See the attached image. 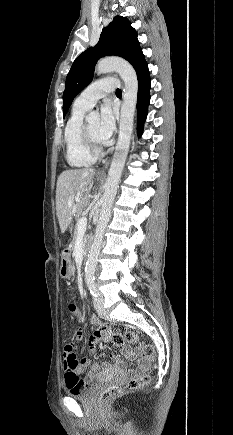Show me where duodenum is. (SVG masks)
<instances>
[{
    "instance_id": "obj_1",
    "label": "duodenum",
    "mask_w": 233,
    "mask_h": 435,
    "mask_svg": "<svg viewBox=\"0 0 233 435\" xmlns=\"http://www.w3.org/2000/svg\"><path fill=\"white\" fill-rule=\"evenodd\" d=\"M65 253H68V249L65 250ZM83 271H84V267L82 265V273H83Z\"/></svg>"
}]
</instances>
